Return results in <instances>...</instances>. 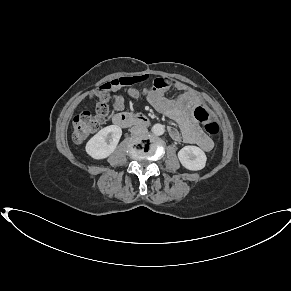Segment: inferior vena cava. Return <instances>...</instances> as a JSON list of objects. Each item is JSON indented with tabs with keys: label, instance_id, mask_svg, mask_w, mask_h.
<instances>
[{
	"label": "inferior vena cava",
	"instance_id": "inferior-vena-cava-1",
	"mask_svg": "<svg viewBox=\"0 0 291 291\" xmlns=\"http://www.w3.org/2000/svg\"><path fill=\"white\" fill-rule=\"evenodd\" d=\"M130 132L132 134H143V133H146L147 132V128L146 127H143V126H133L130 129Z\"/></svg>",
	"mask_w": 291,
	"mask_h": 291
}]
</instances>
